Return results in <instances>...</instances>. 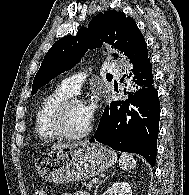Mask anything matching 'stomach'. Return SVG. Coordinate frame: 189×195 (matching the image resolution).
Segmentation results:
<instances>
[{
	"instance_id": "obj_1",
	"label": "stomach",
	"mask_w": 189,
	"mask_h": 195,
	"mask_svg": "<svg viewBox=\"0 0 189 195\" xmlns=\"http://www.w3.org/2000/svg\"><path fill=\"white\" fill-rule=\"evenodd\" d=\"M116 161V153L107 147L84 143L48 150L39 159L36 169L46 181L69 183L93 178Z\"/></svg>"
}]
</instances>
